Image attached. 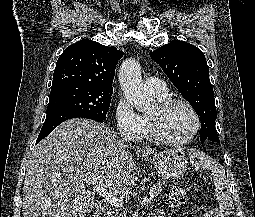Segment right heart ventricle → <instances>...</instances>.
<instances>
[{"label": "right heart ventricle", "mask_w": 255, "mask_h": 217, "mask_svg": "<svg viewBox=\"0 0 255 217\" xmlns=\"http://www.w3.org/2000/svg\"><path fill=\"white\" fill-rule=\"evenodd\" d=\"M158 101H161V100H164L167 96L166 95H154L152 94ZM144 119V122H145V126H146V133L145 134H150V129H149V120H148V117L147 116H144L143 117Z\"/></svg>", "instance_id": "e07e8e85"}]
</instances>
